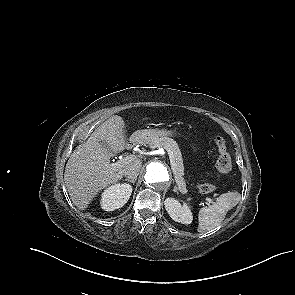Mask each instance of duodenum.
<instances>
[{
    "instance_id": "duodenum-1",
    "label": "duodenum",
    "mask_w": 295,
    "mask_h": 295,
    "mask_svg": "<svg viewBox=\"0 0 295 295\" xmlns=\"http://www.w3.org/2000/svg\"><path fill=\"white\" fill-rule=\"evenodd\" d=\"M133 144H134V141H133V140H130V141H128V143H127V147L130 148V147L133 146Z\"/></svg>"
}]
</instances>
